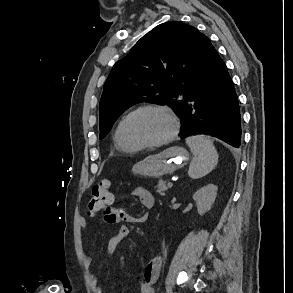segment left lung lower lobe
<instances>
[{"label": "left lung lower lobe", "instance_id": "1", "mask_svg": "<svg viewBox=\"0 0 293 293\" xmlns=\"http://www.w3.org/2000/svg\"><path fill=\"white\" fill-rule=\"evenodd\" d=\"M180 137L205 134L241 145V115L237 95L226 65L211 47L201 81L182 99Z\"/></svg>", "mask_w": 293, "mask_h": 293}]
</instances>
